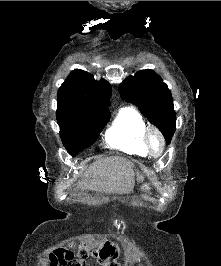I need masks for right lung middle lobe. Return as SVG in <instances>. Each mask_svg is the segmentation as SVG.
Here are the masks:
<instances>
[{"mask_svg": "<svg viewBox=\"0 0 221 266\" xmlns=\"http://www.w3.org/2000/svg\"><path fill=\"white\" fill-rule=\"evenodd\" d=\"M56 115L62 142L71 156L91 146L110 120V114L84 115L59 102Z\"/></svg>", "mask_w": 221, "mask_h": 266, "instance_id": "right-lung-middle-lobe-1", "label": "right lung middle lobe"}]
</instances>
